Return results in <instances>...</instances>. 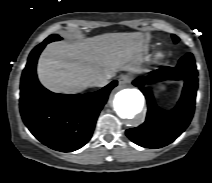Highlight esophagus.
<instances>
[{
  "label": "esophagus",
  "mask_w": 212,
  "mask_h": 183,
  "mask_svg": "<svg viewBox=\"0 0 212 183\" xmlns=\"http://www.w3.org/2000/svg\"><path fill=\"white\" fill-rule=\"evenodd\" d=\"M129 82H130V77L128 75H123L119 79V86L120 87H125V86H127V84H129Z\"/></svg>",
  "instance_id": "1"
}]
</instances>
